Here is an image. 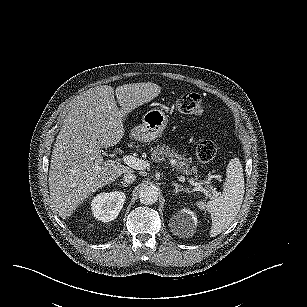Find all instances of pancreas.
Wrapping results in <instances>:
<instances>
[{"mask_svg":"<svg viewBox=\"0 0 307 307\" xmlns=\"http://www.w3.org/2000/svg\"><path fill=\"white\" fill-rule=\"evenodd\" d=\"M151 160L155 163L169 162L172 167L182 174L192 175L197 173L196 167L190 168L186 158L182 157L175 149H171L165 144L151 148ZM202 184L207 185L210 190L215 192L208 181H202Z\"/></svg>","mask_w":307,"mask_h":307,"instance_id":"cf45deb5","label":"pancreas"}]
</instances>
